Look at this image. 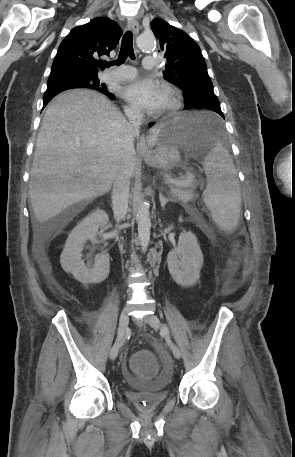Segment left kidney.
I'll return each instance as SVG.
<instances>
[{
  "mask_svg": "<svg viewBox=\"0 0 295 457\" xmlns=\"http://www.w3.org/2000/svg\"><path fill=\"white\" fill-rule=\"evenodd\" d=\"M167 264L172 278L180 286L190 287L199 280L203 254L195 234L190 231L180 234L178 246L168 253Z\"/></svg>",
  "mask_w": 295,
  "mask_h": 457,
  "instance_id": "obj_1",
  "label": "left kidney"
}]
</instances>
